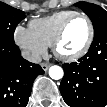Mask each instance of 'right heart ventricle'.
I'll use <instances>...</instances> for the list:
<instances>
[{
  "instance_id": "e07e8e85",
  "label": "right heart ventricle",
  "mask_w": 107,
  "mask_h": 107,
  "mask_svg": "<svg viewBox=\"0 0 107 107\" xmlns=\"http://www.w3.org/2000/svg\"><path fill=\"white\" fill-rule=\"evenodd\" d=\"M77 12L71 10L55 12L52 15L33 19L29 28L46 46H51L64 21Z\"/></svg>"
}]
</instances>
